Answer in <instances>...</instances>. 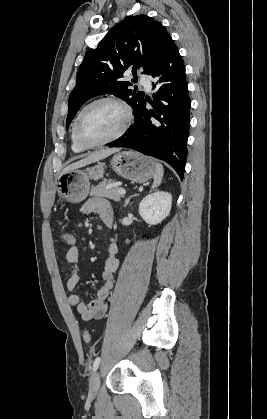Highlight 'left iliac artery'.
Returning <instances> with one entry per match:
<instances>
[{
  "label": "left iliac artery",
  "instance_id": "obj_1",
  "mask_svg": "<svg viewBox=\"0 0 267 419\" xmlns=\"http://www.w3.org/2000/svg\"><path fill=\"white\" fill-rule=\"evenodd\" d=\"M100 364V357H97L93 363V372H95Z\"/></svg>",
  "mask_w": 267,
  "mask_h": 419
}]
</instances>
